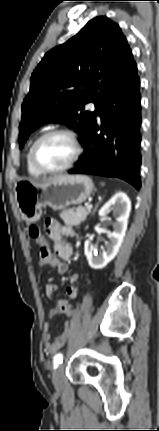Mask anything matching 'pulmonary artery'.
Instances as JSON below:
<instances>
[{
  "mask_svg": "<svg viewBox=\"0 0 159 431\" xmlns=\"http://www.w3.org/2000/svg\"><path fill=\"white\" fill-rule=\"evenodd\" d=\"M89 107H90L92 110H94V109L96 108V106H95L93 103L89 104Z\"/></svg>",
  "mask_w": 159,
  "mask_h": 431,
  "instance_id": "obj_1",
  "label": "pulmonary artery"
}]
</instances>
